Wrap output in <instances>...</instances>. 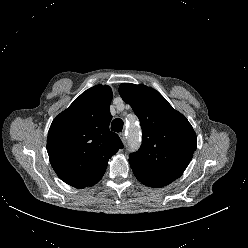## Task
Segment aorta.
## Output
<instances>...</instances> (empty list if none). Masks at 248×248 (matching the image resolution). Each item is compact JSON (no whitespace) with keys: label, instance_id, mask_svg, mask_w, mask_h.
Listing matches in <instances>:
<instances>
[{"label":"aorta","instance_id":"obj_1","mask_svg":"<svg viewBox=\"0 0 248 248\" xmlns=\"http://www.w3.org/2000/svg\"><path fill=\"white\" fill-rule=\"evenodd\" d=\"M129 131H130V143L132 145H138L139 144L138 129L134 126H130Z\"/></svg>","mask_w":248,"mask_h":248}]
</instances>
